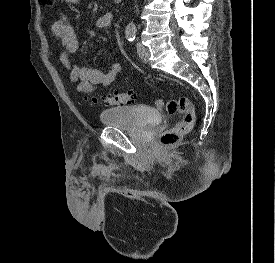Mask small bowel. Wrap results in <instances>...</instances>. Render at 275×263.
I'll return each instance as SVG.
<instances>
[{
  "instance_id": "c3829d8e",
  "label": "small bowel",
  "mask_w": 275,
  "mask_h": 263,
  "mask_svg": "<svg viewBox=\"0 0 275 263\" xmlns=\"http://www.w3.org/2000/svg\"><path fill=\"white\" fill-rule=\"evenodd\" d=\"M65 1L67 3H77L79 0ZM113 18L112 12L103 13L96 18L95 26L99 29H106L111 26ZM52 32L59 38L63 47L60 62L67 70L70 80L77 84L76 89L78 92L92 93L99 87L108 86L122 71V65L118 61L111 62L107 72L74 64L71 56L78 51L80 42L69 19L65 17L57 19L52 25Z\"/></svg>"
}]
</instances>
